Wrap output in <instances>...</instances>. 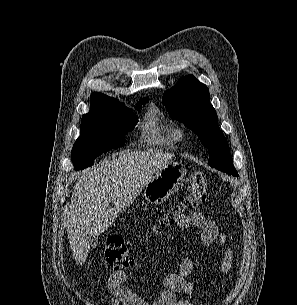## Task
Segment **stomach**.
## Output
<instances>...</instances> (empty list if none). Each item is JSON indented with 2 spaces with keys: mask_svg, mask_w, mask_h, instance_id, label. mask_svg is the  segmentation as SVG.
Masks as SVG:
<instances>
[{
  "mask_svg": "<svg viewBox=\"0 0 297 305\" xmlns=\"http://www.w3.org/2000/svg\"><path fill=\"white\" fill-rule=\"evenodd\" d=\"M185 176L186 169L181 163L169 161L145 185V199L154 205L165 202L183 186Z\"/></svg>",
  "mask_w": 297,
  "mask_h": 305,
  "instance_id": "stomach-1",
  "label": "stomach"
}]
</instances>
